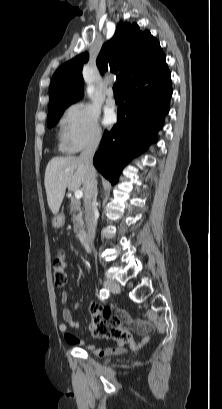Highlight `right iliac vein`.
Wrapping results in <instances>:
<instances>
[{
    "instance_id": "1",
    "label": "right iliac vein",
    "mask_w": 222,
    "mask_h": 409,
    "mask_svg": "<svg viewBox=\"0 0 222 409\" xmlns=\"http://www.w3.org/2000/svg\"><path fill=\"white\" fill-rule=\"evenodd\" d=\"M104 287L108 289L109 291L115 292V293H119L121 290L120 286L115 281H112V280H105Z\"/></svg>"
}]
</instances>
